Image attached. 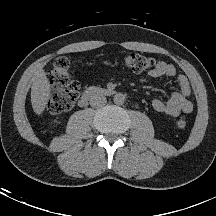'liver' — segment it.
<instances>
[{
	"instance_id": "1",
	"label": "liver",
	"mask_w": 216,
	"mask_h": 216,
	"mask_svg": "<svg viewBox=\"0 0 216 216\" xmlns=\"http://www.w3.org/2000/svg\"><path fill=\"white\" fill-rule=\"evenodd\" d=\"M33 84L31 87V104L34 112L41 115L47 106L50 98V86L46 73L43 69H39L34 74Z\"/></svg>"
}]
</instances>
